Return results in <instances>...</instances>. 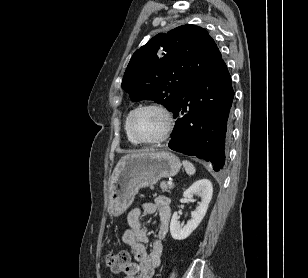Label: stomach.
I'll return each instance as SVG.
<instances>
[{
  "label": "stomach",
  "mask_w": 308,
  "mask_h": 278,
  "mask_svg": "<svg viewBox=\"0 0 308 278\" xmlns=\"http://www.w3.org/2000/svg\"><path fill=\"white\" fill-rule=\"evenodd\" d=\"M180 168L179 158L169 151H143L123 156L110 178L109 214L121 215L140 189L156 184L161 178L175 176Z\"/></svg>",
  "instance_id": "1"
}]
</instances>
